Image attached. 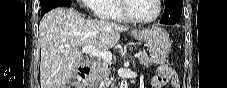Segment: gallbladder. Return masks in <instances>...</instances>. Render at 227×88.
Returning a JSON list of instances; mask_svg holds the SVG:
<instances>
[{"instance_id": "obj_1", "label": "gallbladder", "mask_w": 227, "mask_h": 88, "mask_svg": "<svg viewBox=\"0 0 227 88\" xmlns=\"http://www.w3.org/2000/svg\"><path fill=\"white\" fill-rule=\"evenodd\" d=\"M74 74H75V73H73V75H72V78H73V79H74Z\"/></svg>"}]
</instances>
